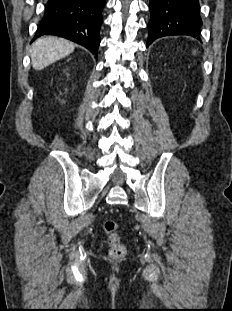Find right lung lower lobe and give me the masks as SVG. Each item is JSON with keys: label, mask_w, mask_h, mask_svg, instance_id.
I'll return each instance as SVG.
<instances>
[{"label": "right lung lower lobe", "mask_w": 232, "mask_h": 311, "mask_svg": "<svg viewBox=\"0 0 232 311\" xmlns=\"http://www.w3.org/2000/svg\"><path fill=\"white\" fill-rule=\"evenodd\" d=\"M106 0H49L35 37L57 35L78 43L97 57Z\"/></svg>", "instance_id": "1"}]
</instances>
